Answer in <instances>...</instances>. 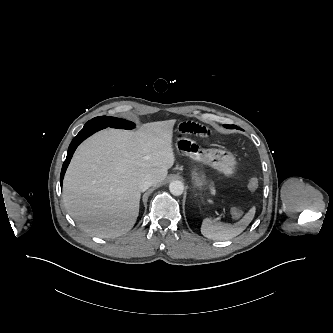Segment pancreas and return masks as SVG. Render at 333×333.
I'll use <instances>...</instances> for the list:
<instances>
[{"label": "pancreas", "instance_id": "cf45deb5", "mask_svg": "<svg viewBox=\"0 0 333 333\" xmlns=\"http://www.w3.org/2000/svg\"><path fill=\"white\" fill-rule=\"evenodd\" d=\"M210 191H211L212 194L215 193V189H214L213 185L210 186Z\"/></svg>", "mask_w": 333, "mask_h": 333}]
</instances>
